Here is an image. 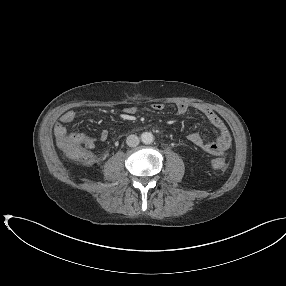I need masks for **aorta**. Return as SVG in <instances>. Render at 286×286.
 <instances>
[{"instance_id":"aorta-1","label":"aorta","mask_w":286,"mask_h":286,"mask_svg":"<svg viewBox=\"0 0 286 286\" xmlns=\"http://www.w3.org/2000/svg\"><path fill=\"white\" fill-rule=\"evenodd\" d=\"M141 140L144 144H151L154 141V135L151 132H143Z\"/></svg>"}]
</instances>
